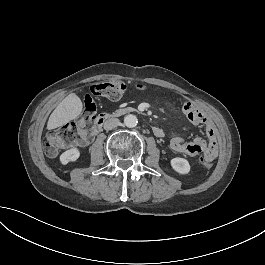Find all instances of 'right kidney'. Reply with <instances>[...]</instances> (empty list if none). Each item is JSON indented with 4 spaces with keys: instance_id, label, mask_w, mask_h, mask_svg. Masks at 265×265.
Segmentation results:
<instances>
[{
    "instance_id": "obj_1",
    "label": "right kidney",
    "mask_w": 265,
    "mask_h": 265,
    "mask_svg": "<svg viewBox=\"0 0 265 265\" xmlns=\"http://www.w3.org/2000/svg\"><path fill=\"white\" fill-rule=\"evenodd\" d=\"M79 156H80L79 150L77 148H72L61 154L60 161L63 165H66L71 161H76L79 158Z\"/></svg>"
}]
</instances>
